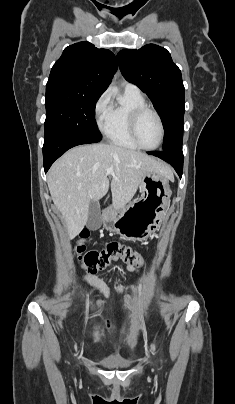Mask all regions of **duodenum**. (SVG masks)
Masks as SVG:
<instances>
[{
	"mask_svg": "<svg viewBox=\"0 0 235 404\" xmlns=\"http://www.w3.org/2000/svg\"><path fill=\"white\" fill-rule=\"evenodd\" d=\"M104 212H105V214H108L110 212V210L106 209Z\"/></svg>",
	"mask_w": 235,
	"mask_h": 404,
	"instance_id": "1",
	"label": "duodenum"
}]
</instances>
